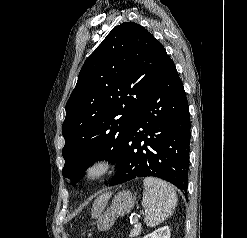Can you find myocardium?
<instances>
[{
    "label": "myocardium",
    "instance_id": "f54148a6",
    "mask_svg": "<svg viewBox=\"0 0 247 238\" xmlns=\"http://www.w3.org/2000/svg\"><path fill=\"white\" fill-rule=\"evenodd\" d=\"M113 168V161L107 156H97L90 160L82 171L87 182H96L106 177Z\"/></svg>",
    "mask_w": 247,
    "mask_h": 238
}]
</instances>
